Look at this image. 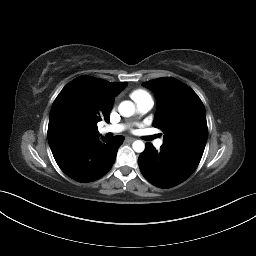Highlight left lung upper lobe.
<instances>
[{"instance_id": "1", "label": "left lung upper lobe", "mask_w": 256, "mask_h": 256, "mask_svg": "<svg viewBox=\"0 0 256 256\" xmlns=\"http://www.w3.org/2000/svg\"><path fill=\"white\" fill-rule=\"evenodd\" d=\"M143 85L157 97L153 125L165 134L161 147L199 164L208 135L205 108L200 98L175 78H158Z\"/></svg>"}]
</instances>
